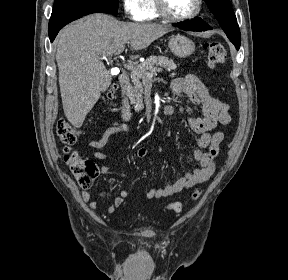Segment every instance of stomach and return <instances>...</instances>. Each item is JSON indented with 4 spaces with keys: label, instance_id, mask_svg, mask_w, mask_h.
I'll return each mask as SVG.
<instances>
[{
    "label": "stomach",
    "instance_id": "stomach-1",
    "mask_svg": "<svg viewBox=\"0 0 288 280\" xmlns=\"http://www.w3.org/2000/svg\"><path fill=\"white\" fill-rule=\"evenodd\" d=\"M168 47L179 58H186L195 51V43L180 34L170 37Z\"/></svg>",
    "mask_w": 288,
    "mask_h": 280
}]
</instances>
